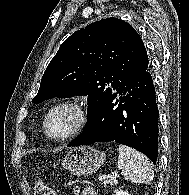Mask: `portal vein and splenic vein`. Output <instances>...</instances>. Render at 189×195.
Wrapping results in <instances>:
<instances>
[{
	"label": "portal vein and splenic vein",
	"instance_id": "1",
	"mask_svg": "<svg viewBox=\"0 0 189 195\" xmlns=\"http://www.w3.org/2000/svg\"><path fill=\"white\" fill-rule=\"evenodd\" d=\"M99 181H104L105 180V177L104 176H99Z\"/></svg>",
	"mask_w": 189,
	"mask_h": 195
}]
</instances>
